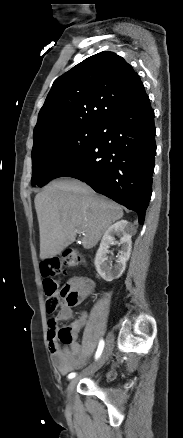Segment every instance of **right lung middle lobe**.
Segmentation results:
<instances>
[{"label": "right lung middle lobe", "instance_id": "obj_1", "mask_svg": "<svg viewBox=\"0 0 183 438\" xmlns=\"http://www.w3.org/2000/svg\"><path fill=\"white\" fill-rule=\"evenodd\" d=\"M98 126H80L48 133L32 149V185L40 187L54 179L93 141Z\"/></svg>", "mask_w": 183, "mask_h": 438}]
</instances>
